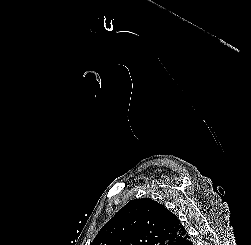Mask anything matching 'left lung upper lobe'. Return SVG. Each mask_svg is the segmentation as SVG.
I'll use <instances>...</instances> for the list:
<instances>
[{"instance_id": "obj_1", "label": "left lung upper lobe", "mask_w": 251, "mask_h": 245, "mask_svg": "<svg viewBox=\"0 0 251 245\" xmlns=\"http://www.w3.org/2000/svg\"><path fill=\"white\" fill-rule=\"evenodd\" d=\"M185 233L165 206L149 198L134 199L101 228L90 245H174Z\"/></svg>"}]
</instances>
